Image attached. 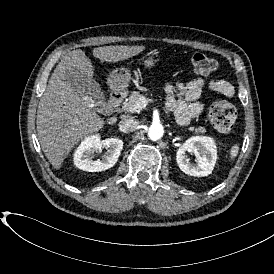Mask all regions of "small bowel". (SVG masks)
Here are the masks:
<instances>
[{"instance_id": "1", "label": "small bowel", "mask_w": 274, "mask_h": 274, "mask_svg": "<svg viewBox=\"0 0 274 274\" xmlns=\"http://www.w3.org/2000/svg\"><path fill=\"white\" fill-rule=\"evenodd\" d=\"M206 88L228 98L235 95L234 86L223 79L206 81L203 78H195L187 84H167L165 88L166 107L173 112L178 124L186 125L203 113L204 106L199 98Z\"/></svg>"}]
</instances>
